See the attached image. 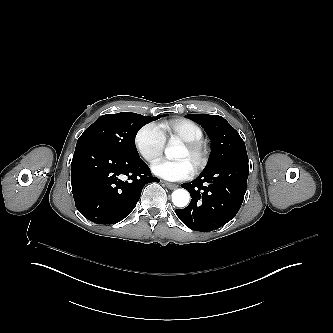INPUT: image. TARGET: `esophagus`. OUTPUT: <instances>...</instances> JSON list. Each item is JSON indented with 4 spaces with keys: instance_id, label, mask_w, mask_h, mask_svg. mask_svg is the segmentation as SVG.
<instances>
[{
    "instance_id": "34e87169",
    "label": "esophagus",
    "mask_w": 333,
    "mask_h": 333,
    "mask_svg": "<svg viewBox=\"0 0 333 333\" xmlns=\"http://www.w3.org/2000/svg\"><path fill=\"white\" fill-rule=\"evenodd\" d=\"M165 184H166L167 188L170 190H175L178 187V185L174 184V183L165 182Z\"/></svg>"
}]
</instances>
